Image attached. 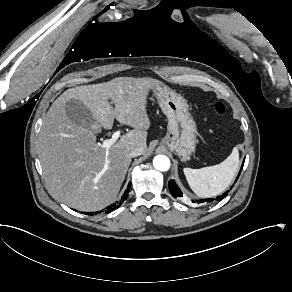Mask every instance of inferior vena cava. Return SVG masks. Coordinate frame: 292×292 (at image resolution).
<instances>
[{
    "mask_svg": "<svg viewBox=\"0 0 292 292\" xmlns=\"http://www.w3.org/2000/svg\"><path fill=\"white\" fill-rule=\"evenodd\" d=\"M142 153H143V149L141 147H136L132 149L130 155L131 157H137V156L142 155Z\"/></svg>",
    "mask_w": 292,
    "mask_h": 292,
    "instance_id": "1",
    "label": "inferior vena cava"
}]
</instances>
